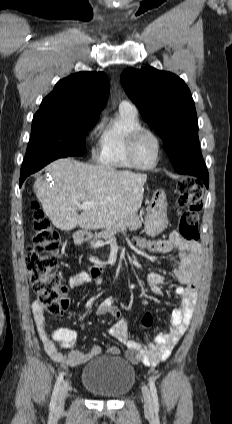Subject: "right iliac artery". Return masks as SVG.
I'll return each instance as SVG.
<instances>
[{
	"mask_svg": "<svg viewBox=\"0 0 232 424\" xmlns=\"http://www.w3.org/2000/svg\"><path fill=\"white\" fill-rule=\"evenodd\" d=\"M63 377H64V373L61 372L56 380L55 386H54V390L52 393V397H51V402H50V411L54 412L55 407H56V400H57V396H58V392L61 386V383L63 381Z\"/></svg>",
	"mask_w": 232,
	"mask_h": 424,
	"instance_id": "1",
	"label": "right iliac artery"
}]
</instances>
